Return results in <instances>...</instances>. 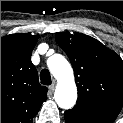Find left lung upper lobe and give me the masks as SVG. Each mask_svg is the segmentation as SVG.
I'll use <instances>...</instances> for the list:
<instances>
[{
    "label": "left lung upper lobe",
    "instance_id": "obj_1",
    "mask_svg": "<svg viewBox=\"0 0 123 123\" xmlns=\"http://www.w3.org/2000/svg\"><path fill=\"white\" fill-rule=\"evenodd\" d=\"M75 70L76 105L115 118L123 106V60L84 34L56 33Z\"/></svg>",
    "mask_w": 123,
    "mask_h": 123
}]
</instances>
